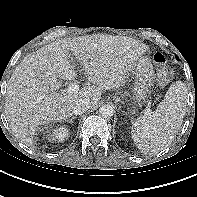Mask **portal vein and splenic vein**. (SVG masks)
<instances>
[{
    "label": "portal vein and splenic vein",
    "instance_id": "18ae733b",
    "mask_svg": "<svg viewBox=\"0 0 197 197\" xmlns=\"http://www.w3.org/2000/svg\"><path fill=\"white\" fill-rule=\"evenodd\" d=\"M79 88H80L79 84L74 82L66 88V92L68 94H74L79 91Z\"/></svg>",
    "mask_w": 197,
    "mask_h": 197
}]
</instances>
